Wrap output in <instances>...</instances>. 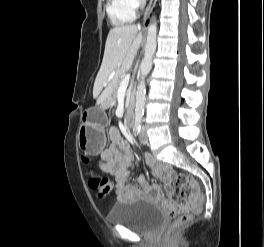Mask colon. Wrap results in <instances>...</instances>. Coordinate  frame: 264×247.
I'll return each mask as SVG.
<instances>
[{
  "label": "colon",
  "mask_w": 264,
  "mask_h": 247,
  "mask_svg": "<svg viewBox=\"0 0 264 247\" xmlns=\"http://www.w3.org/2000/svg\"><path fill=\"white\" fill-rule=\"evenodd\" d=\"M88 178L89 185L94 191L95 198L98 200H104L111 191L110 182L93 171L88 172ZM176 186L180 190L191 189L193 192L189 196L182 197L180 201L172 205L170 215L173 217V222L169 227L170 232H173L180 226L188 223L192 214L199 211L204 200L198 183L192 177L178 174L176 177Z\"/></svg>",
  "instance_id": "1"
}]
</instances>
